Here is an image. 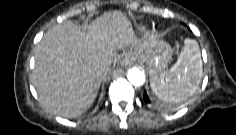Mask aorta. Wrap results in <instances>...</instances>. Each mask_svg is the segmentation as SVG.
Returning <instances> with one entry per match:
<instances>
[{
  "instance_id": "obj_1",
  "label": "aorta",
  "mask_w": 236,
  "mask_h": 135,
  "mask_svg": "<svg viewBox=\"0 0 236 135\" xmlns=\"http://www.w3.org/2000/svg\"><path fill=\"white\" fill-rule=\"evenodd\" d=\"M127 77L134 86H141L145 82V73L136 67L128 70Z\"/></svg>"
}]
</instances>
